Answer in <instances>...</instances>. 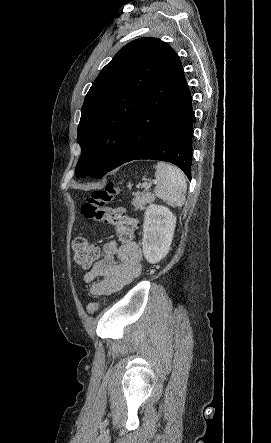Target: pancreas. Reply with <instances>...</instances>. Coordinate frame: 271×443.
I'll return each mask as SVG.
<instances>
[{"instance_id":"1","label":"pancreas","mask_w":271,"mask_h":443,"mask_svg":"<svg viewBox=\"0 0 271 443\" xmlns=\"http://www.w3.org/2000/svg\"><path fill=\"white\" fill-rule=\"evenodd\" d=\"M154 200V194H151V192H144L142 196L136 194L132 204L135 206V210H145L146 204H152Z\"/></svg>"}]
</instances>
